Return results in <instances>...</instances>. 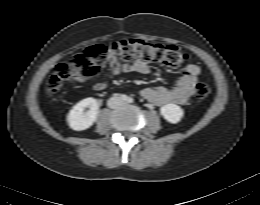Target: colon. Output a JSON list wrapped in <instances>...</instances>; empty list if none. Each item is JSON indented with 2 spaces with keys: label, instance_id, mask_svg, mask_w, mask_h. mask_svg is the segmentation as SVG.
<instances>
[{
  "label": "colon",
  "instance_id": "colon-1",
  "mask_svg": "<svg viewBox=\"0 0 260 205\" xmlns=\"http://www.w3.org/2000/svg\"><path fill=\"white\" fill-rule=\"evenodd\" d=\"M108 53H112L122 62L133 59L158 62L172 68L184 65L188 54L174 45L152 44L143 40L126 39L115 41L108 46L93 45L72 57L68 62L58 64L46 84V91L53 95L65 83L92 79L99 75L101 63ZM194 94L198 99H205L210 94V87L205 82L197 83Z\"/></svg>",
  "mask_w": 260,
  "mask_h": 205
}]
</instances>
